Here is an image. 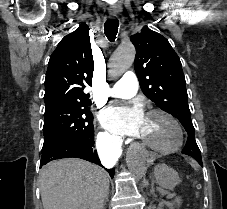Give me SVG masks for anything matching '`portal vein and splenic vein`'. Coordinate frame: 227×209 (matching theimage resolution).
<instances>
[{"label":"portal vein and splenic vein","mask_w":227,"mask_h":209,"mask_svg":"<svg viewBox=\"0 0 227 209\" xmlns=\"http://www.w3.org/2000/svg\"><path fill=\"white\" fill-rule=\"evenodd\" d=\"M162 194H165L164 196L166 197V198H169V199H172L175 195L174 194H172V193H168L169 191L168 190H165V189H162L161 191H160Z\"/></svg>","instance_id":"portal-vein-and-splenic-vein-1"}]
</instances>
